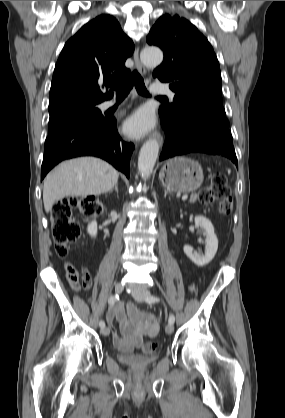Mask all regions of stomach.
<instances>
[{"instance_id": "0dacf381", "label": "stomach", "mask_w": 285, "mask_h": 418, "mask_svg": "<svg viewBox=\"0 0 285 418\" xmlns=\"http://www.w3.org/2000/svg\"><path fill=\"white\" fill-rule=\"evenodd\" d=\"M163 185L170 191L188 193L198 189L203 182L201 166L184 157L167 161L159 173Z\"/></svg>"}]
</instances>
